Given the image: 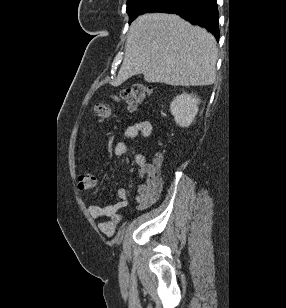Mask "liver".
Returning <instances> with one entry per match:
<instances>
[{
	"label": "liver",
	"instance_id": "obj_1",
	"mask_svg": "<svg viewBox=\"0 0 286 308\" xmlns=\"http://www.w3.org/2000/svg\"><path fill=\"white\" fill-rule=\"evenodd\" d=\"M214 36L177 15L144 14L130 25L117 86L143 74L149 83L175 86L211 85L216 77Z\"/></svg>",
	"mask_w": 286,
	"mask_h": 308
}]
</instances>
